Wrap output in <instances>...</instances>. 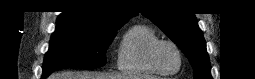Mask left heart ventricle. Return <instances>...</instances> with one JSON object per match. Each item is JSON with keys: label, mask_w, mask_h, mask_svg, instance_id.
<instances>
[{"label": "left heart ventricle", "mask_w": 255, "mask_h": 79, "mask_svg": "<svg viewBox=\"0 0 255 79\" xmlns=\"http://www.w3.org/2000/svg\"><path fill=\"white\" fill-rule=\"evenodd\" d=\"M156 59L159 65L167 70H175L179 65V57L170 45H161L157 49Z\"/></svg>", "instance_id": "left-heart-ventricle-1"}]
</instances>
